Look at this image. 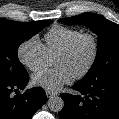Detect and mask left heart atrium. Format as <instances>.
<instances>
[{
	"label": "left heart atrium",
	"instance_id": "obj_1",
	"mask_svg": "<svg viewBox=\"0 0 119 119\" xmlns=\"http://www.w3.org/2000/svg\"><path fill=\"white\" fill-rule=\"evenodd\" d=\"M73 78L74 75L65 67L45 68L32 75V82L48 91H57Z\"/></svg>",
	"mask_w": 119,
	"mask_h": 119
}]
</instances>
